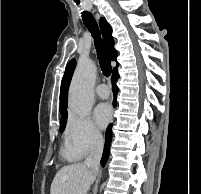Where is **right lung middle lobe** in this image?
I'll use <instances>...</instances> for the list:
<instances>
[{
	"mask_svg": "<svg viewBox=\"0 0 201 194\" xmlns=\"http://www.w3.org/2000/svg\"><path fill=\"white\" fill-rule=\"evenodd\" d=\"M66 122H67V117L61 119V121H60V131L61 132L64 130Z\"/></svg>",
	"mask_w": 201,
	"mask_h": 194,
	"instance_id": "dd1d6c3e",
	"label": "right lung middle lobe"
}]
</instances>
